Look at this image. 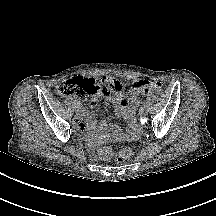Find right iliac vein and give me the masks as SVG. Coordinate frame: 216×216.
Masks as SVG:
<instances>
[{
    "label": "right iliac vein",
    "instance_id": "1",
    "mask_svg": "<svg viewBox=\"0 0 216 216\" xmlns=\"http://www.w3.org/2000/svg\"><path fill=\"white\" fill-rule=\"evenodd\" d=\"M81 113H82V107L80 106L79 108L78 107H76V115L78 116V115H81Z\"/></svg>",
    "mask_w": 216,
    "mask_h": 216
}]
</instances>
